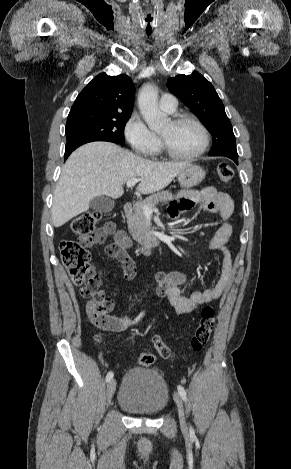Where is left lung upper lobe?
I'll use <instances>...</instances> for the list:
<instances>
[{"mask_svg":"<svg viewBox=\"0 0 291 469\" xmlns=\"http://www.w3.org/2000/svg\"><path fill=\"white\" fill-rule=\"evenodd\" d=\"M169 90L189 107L213 137L209 155H238L232 125L212 84L199 72L178 75L167 82Z\"/></svg>","mask_w":291,"mask_h":469,"instance_id":"obj_1","label":"left lung upper lobe"}]
</instances>
